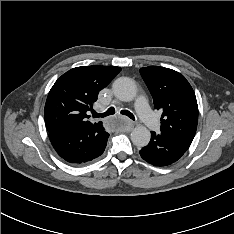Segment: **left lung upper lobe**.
I'll return each instance as SVG.
<instances>
[{"label": "left lung upper lobe", "instance_id": "1", "mask_svg": "<svg viewBox=\"0 0 234 234\" xmlns=\"http://www.w3.org/2000/svg\"><path fill=\"white\" fill-rule=\"evenodd\" d=\"M140 73L155 108L163 111L161 134L187 151L198 123V105L191 85L182 74L165 67H143Z\"/></svg>", "mask_w": 234, "mask_h": 234}]
</instances>
